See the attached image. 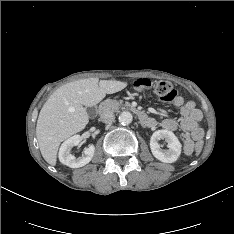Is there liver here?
<instances>
[{"instance_id":"6515ba94","label":"liver","mask_w":234,"mask_h":234,"mask_svg":"<svg viewBox=\"0 0 234 234\" xmlns=\"http://www.w3.org/2000/svg\"><path fill=\"white\" fill-rule=\"evenodd\" d=\"M126 86L127 83L122 81L87 78L57 89L43 105L36 125V136L45 161L56 165L60 143L86 127L89 122L86 107L97 105L106 94L116 93Z\"/></svg>"}]
</instances>
